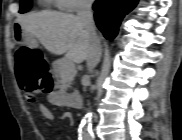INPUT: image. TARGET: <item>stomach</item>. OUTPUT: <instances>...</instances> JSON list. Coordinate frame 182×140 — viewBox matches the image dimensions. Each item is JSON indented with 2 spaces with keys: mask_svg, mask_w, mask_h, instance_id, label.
Segmentation results:
<instances>
[{
  "mask_svg": "<svg viewBox=\"0 0 182 140\" xmlns=\"http://www.w3.org/2000/svg\"><path fill=\"white\" fill-rule=\"evenodd\" d=\"M10 26L14 30H25L26 26L22 22H11ZM15 44H27L30 47L37 45L36 38L30 36V31H15Z\"/></svg>",
  "mask_w": 182,
  "mask_h": 140,
  "instance_id": "obj_1",
  "label": "stomach"
}]
</instances>
